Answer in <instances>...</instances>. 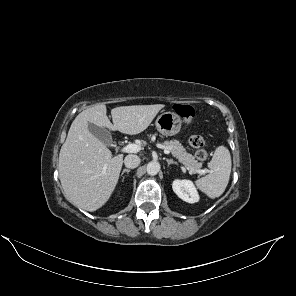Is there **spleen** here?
<instances>
[{"instance_id": "1", "label": "spleen", "mask_w": 296, "mask_h": 296, "mask_svg": "<svg viewBox=\"0 0 296 296\" xmlns=\"http://www.w3.org/2000/svg\"><path fill=\"white\" fill-rule=\"evenodd\" d=\"M231 166L229 150L223 145L219 146L208 163L209 174L196 180V186L212 199L221 196L228 185Z\"/></svg>"}]
</instances>
